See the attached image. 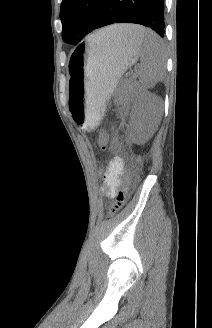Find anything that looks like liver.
I'll return each instance as SVG.
<instances>
[{
  "instance_id": "1",
  "label": "liver",
  "mask_w": 212,
  "mask_h": 328,
  "mask_svg": "<svg viewBox=\"0 0 212 328\" xmlns=\"http://www.w3.org/2000/svg\"><path fill=\"white\" fill-rule=\"evenodd\" d=\"M135 25L118 24L106 27L94 34L98 42L102 41H129L134 39ZM93 36V35H91ZM90 36V37H91Z\"/></svg>"
}]
</instances>
